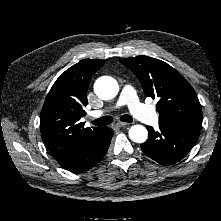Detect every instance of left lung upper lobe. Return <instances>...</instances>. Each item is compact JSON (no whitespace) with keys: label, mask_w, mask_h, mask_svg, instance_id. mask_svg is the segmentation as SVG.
Masks as SVG:
<instances>
[{"label":"left lung upper lobe","mask_w":221,"mask_h":221,"mask_svg":"<svg viewBox=\"0 0 221 221\" xmlns=\"http://www.w3.org/2000/svg\"><path fill=\"white\" fill-rule=\"evenodd\" d=\"M148 97L158 98L159 124L200 130L202 109L187 80L167 63L147 56L122 59Z\"/></svg>","instance_id":"1"}]
</instances>
